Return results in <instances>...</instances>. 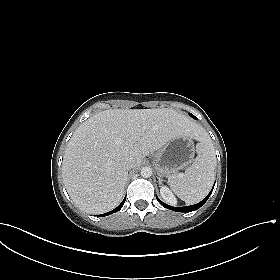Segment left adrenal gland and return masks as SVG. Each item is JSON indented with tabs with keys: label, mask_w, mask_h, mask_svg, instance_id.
Returning a JSON list of instances; mask_svg holds the SVG:
<instances>
[{
	"label": "left adrenal gland",
	"mask_w": 280,
	"mask_h": 280,
	"mask_svg": "<svg viewBox=\"0 0 280 280\" xmlns=\"http://www.w3.org/2000/svg\"><path fill=\"white\" fill-rule=\"evenodd\" d=\"M158 181H159V184L161 185L163 180L161 178H158Z\"/></svg>",
	"instance_id": "obj_1"
}]
</instances>
